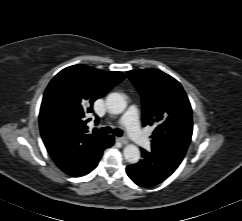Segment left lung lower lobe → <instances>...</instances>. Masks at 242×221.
Segmentation results:
<instances>
[{"mask_svg": "<svg viewBox=\"0 0 242 221\" xmlns=\"http://www.w3.org/2000/svg\"><path fill=\"white\" fill-rule=\"evenodd\" d=\"M142 151V160L126 168L130 179L142 187L155 186L167 179L179 166L178 160L162 150Z\"/></svg>", "mask_w": 242, "mask_h": 221, "instance_id": "0a47b994", "label": "left lung lower lobe"}]
</instances>
